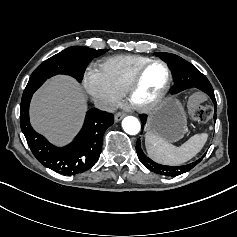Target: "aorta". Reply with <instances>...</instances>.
I'll use <instances>...</instances> for the list:
<instances>
[{"mask_svg": "<svg viewBox=\"0 0 237 237\" xmlns=\"http://www.w3.org/2000/svg\"><path fill=\"white\" fill-rule=\"evenodd\" d=\"M123 130L129 135H137L141 130V124L135 117H126L122 122Z\"/></svg>", "mask_w": 237, "mask_h": 237, "instance_id": "obj_1", "label": "aorta"}]
</instances>
